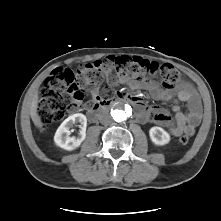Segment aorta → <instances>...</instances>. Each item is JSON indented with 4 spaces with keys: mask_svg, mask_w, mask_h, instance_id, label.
<instances>
[{
    "mask_svg": "<svg viewBox=\"0 0 221 221\" xmlns=\"http://www.w3.org/2000/svg\"><path fill=\"white\" fill-rule=\"evenodd\" d=\"M129 111L123 107H118L111 111V116L116 122H123L127 119Z\"/></svg>",
    "mask_w": 221,
    "mask_h": 221,
    "instance_id": "762f6f07",
    "label": "aorta"
}]
</instances>
